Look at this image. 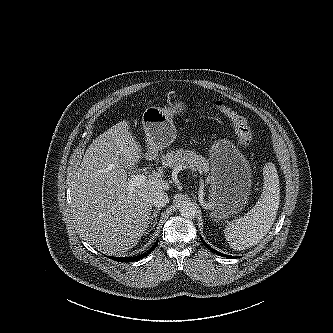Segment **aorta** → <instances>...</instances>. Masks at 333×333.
<instances>
[{"instance_id":"1","label":"aorta","mask_w":333,"mask_h":333,"mask_svg":"<svg viewBox=\"0 0 333 333\" xmlns=\"http://www.w3.org/2000/svg\"><path fill=\"white\" fill-rule=\"evenodd\" d=\"M180 214L184 218L193 219L197 215V206L190 202H185L180 206Z\"/></svg>"}]
</instances>
